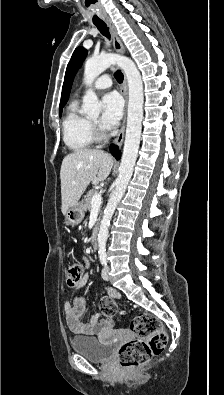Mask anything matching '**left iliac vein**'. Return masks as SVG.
Returning a JSON list of instances; mask_svg holds the SVG:
<instances>
[{"label": "left iliac vein", "mask_w": 224, "mask_h": 395, "mask_svg": "<svg viewBox=\"0 0 224 395\" xmlns=\"http://www.w3.org/2000/svg\"><path fill=\"white\" fill-rule=\"evenodd\" d=\"M109 271H110V268H109V266L108 265H105L104 267H103V269H102V273H101V275H102V278L104 279V280H109Z\"/></svg>", "instance_id": "1"}]
</instances>
